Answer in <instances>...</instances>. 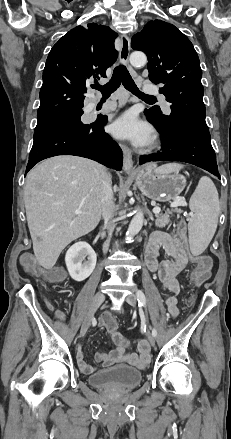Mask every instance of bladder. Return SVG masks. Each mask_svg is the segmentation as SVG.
Here are the masks:
<instances>
[{"instance_id":"31cf9c89","label":"bladder","mask_w":231,"mask_h":439,"mask_svg":"<svg viewBox=\"0 0 231 439\" xmlns=\"http://www.w3.org/2000/svg\"><path fill=\"white\" fill-rule=\"evenodd\" d=\"M143 376L140 370L119 365L104 369L88 376L90 385L98 388L111 390H130L142 382Z\"/></svg>"}]
</instances>
